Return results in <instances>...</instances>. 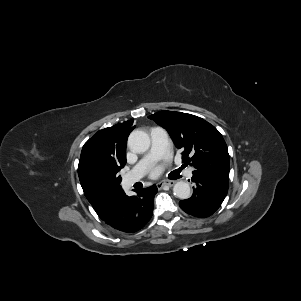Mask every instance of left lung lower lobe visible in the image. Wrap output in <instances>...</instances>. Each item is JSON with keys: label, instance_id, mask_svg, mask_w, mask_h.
Returning a JSON list of instances; mask_svg holds the SVG:
<instances>
[{"label": "left lung lower lobe", "instance_id": "left-lung-lower-lobe-1", "mask_svg": "<svg viewBox=\"0 0 301 301\" xmlns=\"http://www.w3.org/2000/svg\"><path fill=\"white\" fill-rule=\"evenodd\" d=\"M191 180L195 183L193 195L180 201V207L195 217L205 218L212 215L225 199L228 186L203 176L193 175Z\"/></svg>", "mask_w": 301, "mask_h": 301}]
</instances>
